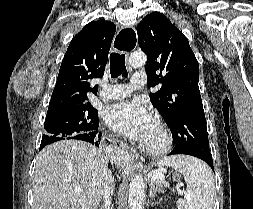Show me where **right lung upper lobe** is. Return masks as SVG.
I'll return each instance as SVG.
<instances>
[{"label":"right lung upper lobe","instance_id":"obj_1","mask_svg":"<svg viewBox=\"0 0 253 209\" xmlns=\"http://www.w3.org/2000/svg\"><path fill=\"white\" fill-rule=\"evenodd\" d=\"M116 26L105 20L87 24L70 42L62 60L47 115L72 107L89 106L87 93L97 94L89 80L103 76Z\"/></svg>","mask_w":253,"mask_h":209}]
</instances>
